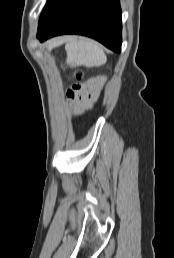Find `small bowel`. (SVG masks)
I'll return each mask as SVG.
<instances>
[{
    "instance_id": "c3829d8e",
    "label": "small bowel",
    "mask_w": 174,
    "mask_h": 258,
    "mask_svg": "<svg viewBox=\"0 0 174 258\" xmlns=\"http://www.w3.org/2000/svg\"><path fill=\"white\" fill-rule=\"evenodd\" d=\"M102 85H106L104 76H97L90 79L75 98H70V106L75 111L80 112L88 108L93 101H101V96H97ZM97 103V102H96Z\"/></svg>"
}]
</instances>
